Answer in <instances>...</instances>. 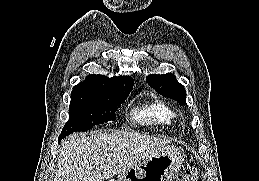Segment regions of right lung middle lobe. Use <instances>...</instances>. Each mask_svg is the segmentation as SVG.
<instances>
[{"label":"right lung middle lobe","mask_w":259,"mask_h":181,"mask_svg":"<svg viewBox=\"0 0 259 181\" xmlns=\"http://www.w3.org/2000/svg\"><path fill=\"white\" fill-rule=\"evenodd\" d=\"M125 97H108L90 94H71L69 120L59 137L73 132H84L93 126L107 123L115 118V112Z\"/></svg>","instance_id":"1"}]
</instances>
